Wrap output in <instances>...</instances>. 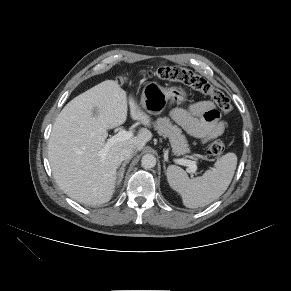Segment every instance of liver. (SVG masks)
<instances>
[{
    "instance_id": "1",
    "label": "liver",
    "mask_w": 291,
    "mask_h": 291,
    "mask_svg": "<svg viewBox=\"0 0 291 291\" xmlns=\"http://www.w3.org/2000/svg\"><path fill=\"white\" fill-rule=\"evenodd\" d=\"M128 104L133 120L150 126L151 119L116 80H106L72 99L60 112L48 143V158L58 186L70 198L86 205L111 200L122 149L133 145L141 151L152 133L140 129L136 136L114 144L105 156L108 130L127 119ZM96 110L97 114L94 115Z\"/></svg>"
}]
</instances>
